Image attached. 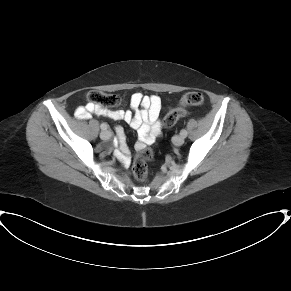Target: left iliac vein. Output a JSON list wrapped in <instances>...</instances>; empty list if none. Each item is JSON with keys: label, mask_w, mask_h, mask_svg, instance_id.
Masks as SVG:
<instances>
[{"label": "left iliac vein", "mask_w": 291, "mask_h": 291, "mask_svg": "<svg viewBox=\"0 0 291 291\" xmlns=\"http://www.w3.org/2000/svg\"><path fill=\"white\" fill-rule=\"evenodd\" d=\"M172 142L177 145L180 146L184 143V137L181 135H176L172 138Z\"/></svg>", "instance_id": "4c4485c4"}]
</instances>
